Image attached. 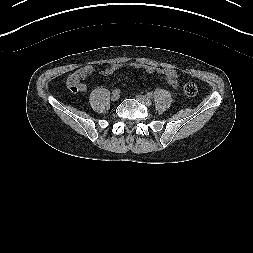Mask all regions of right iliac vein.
Listing matches in <instances>:
<instances>
[{
    "label": "right iliac vein",
    "instance_id": "obj_1",
    "mask_svg": "<svg viewBox=\"0 0 253 253\" xmlns=\"http://www.w3.org/2000/svg\"><path fill=\"white\" fill-rule=\"evenodd\" d=\"M119 94H113L112 96H111V100L112 101H117L118 99H119Z\"/></svg>",
    "mask_w": 253,
    "mask_h": 253
}]
</instances>
